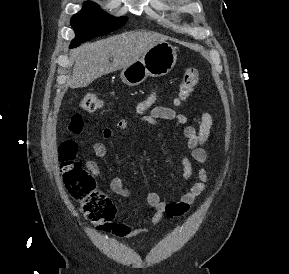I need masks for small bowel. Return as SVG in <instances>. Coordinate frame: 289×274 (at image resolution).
Instances as JSON below:
<instances>
[{"label": "small bowel", "instance_id": "c3829d8e", "mask_svg": "<svg viewBox=\"0 0 289 274\" xmlns=\"http://www.w3.org/2000/svg\"><path fill=\"white\" fill-rule=\"evenodd\" d=\"M156 94L152 93L147 99L139 103L138 110L142 114L139 124H149L156 121L166 120L173 121L179 126H183V135L187 141V149L189 156L183 155L181 157V164L183 166V184L187 183L192 176L191 159L197 163L204 165L207 162L208 155L204 149V145L208 141L212 126L213 116L210 112H204L201 115L198 127L187 125L188 118L183 113H178L175 110L155 105ZM118 130L124 131L128 128L126 120H119L116 124ZM111 128H105L102 131L104 139H110L113 136ZM93 154L99 158H104L107 155V148L103 143H95L91 147ZM87 170L94 176H99L100 168L96 161L88 160L85 163ZM198 181L195 182L188 191L184 192L178 200L164 201L156 192H150L145 204L148 208L154 210L148 225L142 227H134L128 223H118L113 228V234L132 238L145 234L150 227L159 224L165 216L170 218L182 216L187 213L193 205L195 199L200 196L206 188L208 180L207 171L204 167L198 170ZM110 189L118 196L127 198L131 196V191L125 186L120 178H114L110 182ZM142 241V239H141Z\"/></svg>", "mask_w": 289, "mask_h": 274}]
</instances>
